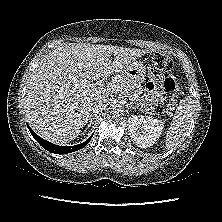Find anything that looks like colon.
<instances>
[{
	"label": "colon",
	"mask_w": 222,
	"mask_h": 222,
	"mask_svg": "<svg viewBox=\"0 0 222 222\" xmlns=\"http://www.w3.org/2000/svg\"><path fill=\"white\" fill-rule=\"evenodd\" d=\"M173 61L163 53H156L152 57V69L157 72H169L173 70ZM163 89L169 94L167 103L168 110L173 113L177 107V85L173 78H166L163 81Z\"/></svg>",
	"instance_id": "colon-1"
}]
</instances>
